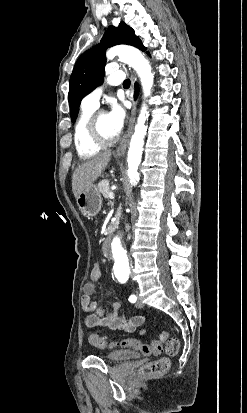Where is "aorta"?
Returning a JSON list of instances; mask_svg holds the SVG:
<instances>
[{"label": "aorta", "mask_w": 247, "mask_h": 413, "mask_svg": "<svg viewBox=\"0 0 247 413\" xmlns=\"http://www.w3.org/2000/svg\"><path fill=\"white\" fill-rule=\"evenodd\" d=\"M118 56L119 59L129 66H131L138 74L141 85L143 88L144 98H147L151 94L153 86L154 75L151 72V66L149 62L144 58L142 53L133 47L126 45H119L112 47L106 53L108 59H113ZM149 117L147 106L143 103L140 114L135 125L134 134L131 137L130 147L128 151V177L131 185H136L139 182L138 167L141 162L144 137L147 133L146 120ZM115 268L119 276L123 277L129 272V262L126 252L117 249L115 251Z\"/></svg>", "instance_id": "obj_1"}]
</instances>
